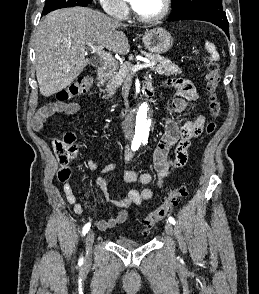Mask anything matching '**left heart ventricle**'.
<instances>
[{"mask_svg":"<svg viewBox=\"0 0 259 294\" xmlns=\"http://www.w3.org/2000/svg\"><path fill=\"white\" fill-rule=\"evenodd\" d=\"M132 4L140 15L146 17L159 14L163 8V0H137Z\"/></svg>","mask_w":259,"mask_h":294,"instance_id":"1","label":"left heart ventricle"}]
</instances>
